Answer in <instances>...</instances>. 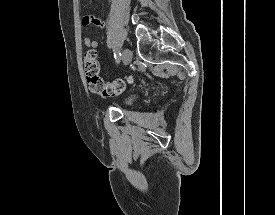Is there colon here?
Instances as JSON below:
<instances>
[{"label": "colon", "instance_id": "obj_1", "mask_svg": "<svg viewBox=\"0 0 275 215\" xmlns=\"http://www.w3.org/2000/svg\"><path fill=\"white\" fill-rule=\"evenodd\" d=\"M83 66L86 80L93 93L103 97H112L122 93L126 85L132 82V77L117 79L112 82H106L100 76V66L95 50L90 49L84 54Z\"/></svg>", "mask_w": 275, "mask_h": 215}]
</instances>
